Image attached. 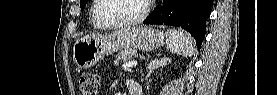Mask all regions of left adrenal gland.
<instances>
[{
  "instance_id": "left-adrenal-gland-1",
  "label": "left adrenal gland",
  "mask_w": 277,
  "mask_h": 95,
  "mask_svg": "<svg viewBox=\"0 0 277 95\" xmlns=\"http://www.w3.org/2000/svg\"><path fill=\"white\" fill-rule=\"evenodd\" d=\"M167 62H170L169 58H162L160 60L158 59H155V60H152L150 63H149V67L152 68V70L160 67V66H163V65H166Z\"/></svg>"
}]
</instances>
